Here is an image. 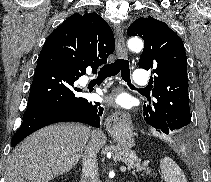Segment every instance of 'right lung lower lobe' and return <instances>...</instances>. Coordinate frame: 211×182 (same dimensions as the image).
<instances>
[{
  "label": "right lung lower lobe",
  "mask_w": 211,
  "mask_h": 182,
  "mask_svg": "<svg viewBox=\"0 0 211 182\" xmlns=\"http://www.w3.org/2000/svg\"><path fill=\"white\" fill-rule=\"evenodd\" d=\"M88 66L97 68L82 53L65 24L49 35L38 58L27 109L12 147L34 131L57 122L75 121L100 127V103L80 97L78 92L82 90L74 85Z\"/></svg>",
  "instance_id": "98d812e1"
}]
</instances>
